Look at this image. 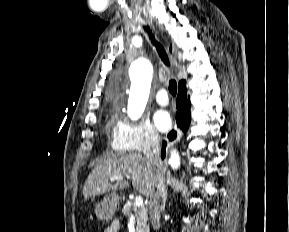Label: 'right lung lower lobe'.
I'll return each instance as SVG.
<instances>
[{
	"instance_id": "right-lung-lower-lobe-1",
	"label": "right lung lower lobe",
	"mask_w": 289,
	"mask_h": 232,
	"mask_svg": "<svg viewBox=\"0 0 289 232\" xmlns=\"http://www.w3.org/2000/svg\"><path fill=\"white\" fill-rule=\"evenodd\" d=\"M186 88L179 89L178 96H177V113H176V121L177 126L183 131L186 132L189 124H190V99H187L186 96ZM177 133L175 131H172L168 134V138L170 140H173L176 138ZM165 148H166V142H163L162 145V158L165 157Z\"/></svg>"
}]
</instances>
